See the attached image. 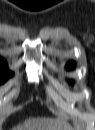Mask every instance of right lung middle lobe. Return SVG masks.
I'll return each mask as SVG.
<instances>
[{
  "label": "right lung middle lobe",
  "instance_id": "right-lung-middle-lobe-1",
  "mask_svg": "<svg viewBox=\"0 0 95 130\" xmlns=\"http://www.w3.org/2000/svg\"><path fill=\"white\" fill-rule=\"evenodd\" d=\"M11 76V73L8 71H1L0 72V83H4L6 80H8Z\"/></svg>",
  "mask_w": 95,
  "mask_h": 130
}]
</instances>
